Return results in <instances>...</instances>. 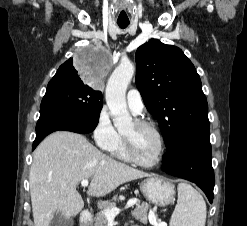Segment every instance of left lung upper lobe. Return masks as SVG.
Wrapping results in <instances>:
<instances>
[{
  "label": "left lung upper lobe",
  "mask_w": 247,
  "mask_h": 226,
  "mask_svg": "<svg viewBox=\"0 0 247 226\" xmlns=\"http://www.w3.org/2000/svg\"><path fill=\"white\" fill-rule=\"evenodd\" d=\"M135 61L136 85L159 122L166 148L192 130L209 127L200 77L181 49L151 39L137 49Z\"/></svg>",
  "instance_id": "left-lung-upper-lobe-1"
}]
</instances>
